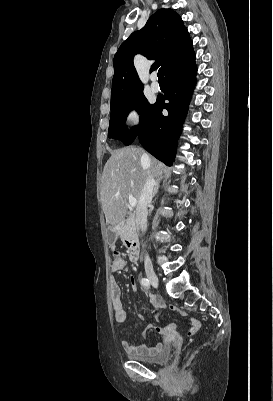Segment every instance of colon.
<instances>
[{
  "instance_id": "5ec220e1",
  "label": "colon",
  "mask_w": 273,
  "mask_h": 401,
  "mask_svg": "<svg viewBox=\"0 0 273 401\" xmlns=\"http://www.w3.org/2000/svg\"><path fill=\"white\" fill-rule=\"evenodd\" d=\"M182 355L184 358H195L197 352L195 349H184Z\"/></svg>"
}]
</instances>
